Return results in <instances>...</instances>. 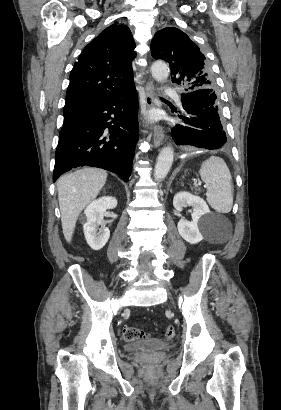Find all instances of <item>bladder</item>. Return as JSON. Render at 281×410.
I'll return each instance as SVG.
<instances>
[{"instance_id": "bladder-1", "label": "bladder", "mask_w": 281, "mask_h": 410, "mask_svg": "<svg viewBox=\"0 0 281 410\" xmlns=\"http://www.w3.org/2000/svg\"><path fill=\"white\" fill-rule=\"evenodd\" d=\"M169 347V343L161 340H141L128 342L125 349L134 353H152L163 351Z\"/></svg>"}]
</instances>
